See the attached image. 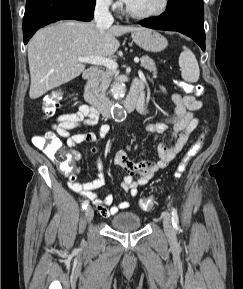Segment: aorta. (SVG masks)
I'll use <instances>...</instances> for the list:
<instances>
[{"label":"aorta","mask_w":243,"mask_h":289,"mask_svg":"<svg viewBox=\"0 0 243 289\" xmlns=\"http://www.w3.org/2000/svg\"><path fill=\"white\" fill-rule=\"evenodd\" d=\"M125 94V86L122 83H117L114 85V87L112 88V95L114 97L115 100H120L121 98L124 97ZM117 115L119 118H123L124 117V112L122 110H119L117 112Z\"/></svg>","instance_id":"obj_1"}]
</instances>
